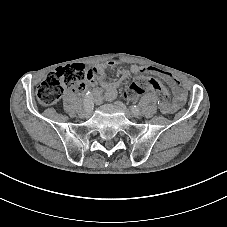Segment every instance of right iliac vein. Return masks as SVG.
I'll return each mask as SVG.
<instances>
[{
    "label": "right iliac vein",
    "mask_w": 227,
    "mask_h": 227,
    "mask_svg": "<svg viewBox=\"0 0 227 227\" xmlns=\"http://www.w3.org/2000/svg\"><path fill=\"white\" fill-rule=\"evenodd\" d=\"M79 115H80L81 117H89L90 113H89L88 111H86V110H82V111L79 113Z\"/></svg>",
    "instance_id": "obj_1"
}]
</instances>
